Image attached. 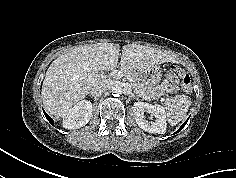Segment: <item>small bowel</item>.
I'll use <instances>...</instances> for the list:
<instances>
[{
  "label": "small bowel",
  "mask_w": 236,
  "mask_h": 178,
  "mask_svg": "<svg viewBox=\"0 0 236 178\" xmlns=\"http://www.w3.org/2000/svg\"><path fill=\"white\" fill-rule=\"evenodd\" d=\"M172 87V84L169 81H164L159 87H158V93L157 95L160 96L164 92L168 91Z\"/></svg>",
  "instance_id": "c3829d8e"
}]
</instances>
